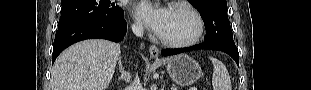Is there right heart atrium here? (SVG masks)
<instances>
[{"instance_id": "right-heart-atrium-1", "label": "right heart atrium", "mask_w": 311, "mask_h": 90, "mask_svg": "<svg viewBox=\"0 0 311 90\" xmlns=\"http://www.w3.org/2000/svg\"><path fill=\"white\" fill-rule=\"evenodd\" d=\"M132 28L135 30V31H141L142 30V24L140 23V21L138 20H135L133 25H132Z\"/></svg>"}]
</instances>
